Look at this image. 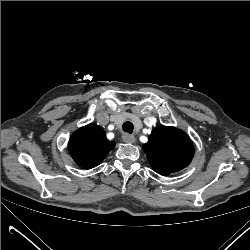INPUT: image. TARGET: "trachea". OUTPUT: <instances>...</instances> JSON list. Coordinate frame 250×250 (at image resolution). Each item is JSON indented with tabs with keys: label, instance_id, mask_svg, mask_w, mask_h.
<instances>
[{
	"label": "trachea",
	"instance_id": "1",
	"mask_svg": "<svg viewBox=\"0 0 250 250\" xmlns=\"http://www.w3.org/2000/svg\"><path fill=\"white\" fill-rule=\"evenodd\" d=\"M133 128H134L133 124L129 121H126L122 126L123 131L129 134L133 132Z\"/></svg>",
	"mask_w": 250,
	"mask_h": 250
}]
</instances>
